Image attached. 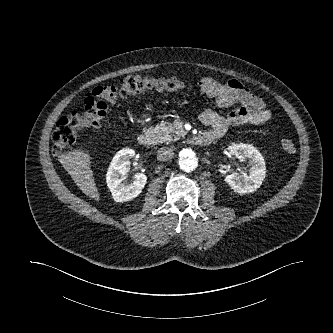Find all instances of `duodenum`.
<instances>
[{
  "mask_svg": "<svg viewBox=\"0 0 333 333\" xmlns=\"http://www.w3.org/2000/svg\"><path fill=\"white\" fill-rule=\"evenodd\" d=\"M138 143L142 146H150L154 141V135L149 132H143L138 135ZM213 140V136L208 132H201L192 137L191 142L198 146H206Z\"/></svg>",
  "mask_w": 333,
  "mask_h": 333,
  "instance_id": "1",
  "label": "duodenum"
}]
</instances>
